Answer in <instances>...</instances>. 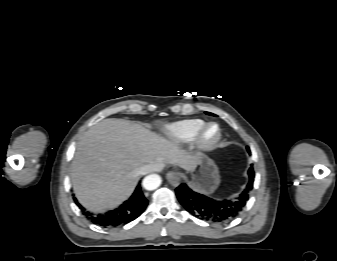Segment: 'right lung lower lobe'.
Masks as SVG:
<instances>
[{
  "mask_svg": "<svg viewBox=\"0 0 337 261\" xmlns=\"http://www.w3.org/2000/svg\"><path fill=\"white\" fill-rule=\"evenodd\" d=\"M75 202L82 211H84L83 214L86 215L87 218H89L94 224L104 227H117L129 223L139 217L148 204V200L141 191L140 185L136 187L129 200L125 201L118 208L104 214L93 215L90 212H86L85 209L79 205L76 199Z\"/></svg>",
  "mask_w": 337,
  "mask_h": 261,
  "instance_id": "obj_1",
  "label": "right lung lower lobe"
}]
</instances>
